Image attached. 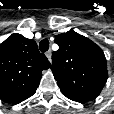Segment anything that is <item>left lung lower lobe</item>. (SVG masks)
<instances>
[{
  "label": "left lung lower lobe",
  "mask_w": 114,
  "mask_h": 114,
  "mask_svg": "<svg viewBox=\"0 0 114 114\" xmlns=\"http://www.w3.org/2000/svg\"><path fill=\"white\" fill-rule=\"evenodd\" d=\"M71 100H74V101H77V102H81V103H84L86 102V100H83V99H73V98H70Z\"/></svg>",
  "instance_id": "left-lung-lower-lobe-1"
}]
</instances>
